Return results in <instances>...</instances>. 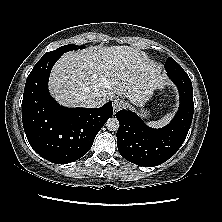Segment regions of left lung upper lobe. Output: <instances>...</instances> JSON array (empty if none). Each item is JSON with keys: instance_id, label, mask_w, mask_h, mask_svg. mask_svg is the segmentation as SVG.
<instances>
[{"instance_id": "obj_1", "label": "left lung upper lobe", "mask_w": 222, "mask_h": 222, "mask_svg": "<svg viewBox=\"0 0 222 222\" xmlns=\"http://www.w3.org/2000/svg\"><path fill=\"white\" fill-rule=\"evenodd\" d=\"M165 70L167 72H179V71H184L182 67L171 57L167 58L166 63H165Z\"/></svg>"}]
</instances>
